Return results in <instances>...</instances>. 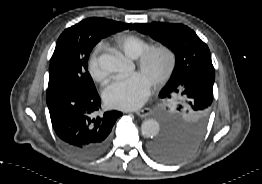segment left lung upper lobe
I'll list each match as a JSON object with an SVG mask.
<instances>
[{
	"instance_id": "left-lung-upper-lobe-1",
	"label": "left lung upper lobe",
	"mask_w": 262,
	"mask_h": 184,
	"mask_svg": "<svg viewBox=\"0 0 262 184\" xmlns=\"http://www.w3.org/2000/svg\"><path fill=\"white\" fill-rule=\"evenodd\" d=\"M176 54L174 72L159 93L164 100L178 98L173 109L160 110L166 137L194 148L203 138L213 100L214 67L208 46L189 27L173 23L133 24Z\"/></svg>"
}]
</instances>
